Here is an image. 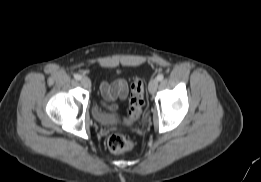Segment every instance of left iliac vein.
Returning a JSON list of instances; mask_svg holds the SVG:
<instances>
[{"instance_id":"left-iliac-vein-1","label":"left iliac vein","mask_w":261,"mask_h":182,"mask_svg":"<svg viewBox=\"0 0 261 182\" xmlns=\"http://www.w3.org/2000/svg\"><path fill=\"white\" fill-rule=\"evenodd\" d=\"M158 88V80L156 78L149 82L148 89L151 94H154Z\"/></svg>"}]
</instances>
